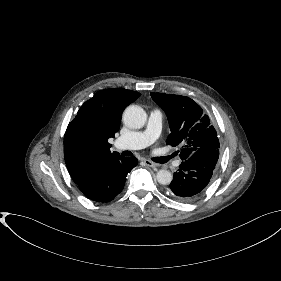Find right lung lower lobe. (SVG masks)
Returning <instances> with one entry per match:
<instances>
[{
	"label": "right lung lower lobe",
	"instance_id": "obj_1",
	"mask_svg": "<svg viewBox=\"0 0 281 281\" xmlns=\"http://www.w3.org/2000/svg\"><path fill=\"white\" fill-rule=\"evenodd\" d=\"M138 164L135 157L117 156L106 160L85 182L79 186L90 200L109 202L124 188L127 174Z\"/></svg>",
	"mask_w": 281,
	"mask_h": 281
}]
</instances>
